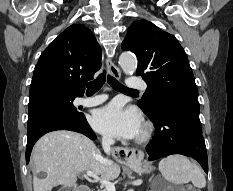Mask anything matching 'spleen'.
I'll return each mask as SVG.
<instances>
[{
  "label": "spleen",
  "instance_id": "obj_1",
  "mask_svg": "<svg viewBox=\"0 0 233 191\" xmlns=\"http://www.w3.org/2000/svg\"><path fill=\"white\" fill-rule=\"evenodd\" d=\"M159 170L162 176L174 185L192 182L196 188H203L206 184L200 168L183 155L176 154L163 158L159 162Z\"/></svg>",
  "mask_w": 233,
  "mask_h": 191
}]
</instances>
